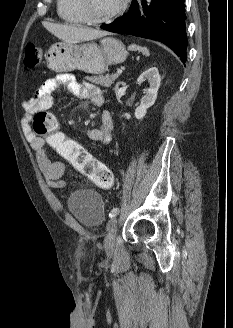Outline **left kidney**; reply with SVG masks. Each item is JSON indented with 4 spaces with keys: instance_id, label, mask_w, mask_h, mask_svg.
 <instances>
[{
    "instance_id": "obj_1",
    "label": "left kidney",
    "mask_w": 233,
    "mask_h": 328,
    "mask_svg": "<svg viewBox=\"0 0 233 328\" xmlns=\"http://www.w3.org/2000/svg\"><path fill=\"white\" fill-rule=\"evenodd\" d=\"M146 79L149 82V88L147 89L146 95L142 97L140 106L135 110L134 115L137 119H142L146 115L147 109L150 108L156 101L158 89L161 83V77L158 69L156 67L147 69L139 76L137 81L141 84ZM123 116L127 119H130L131 117L128 113H125Z\"/></svg>"
}]
</instances>
